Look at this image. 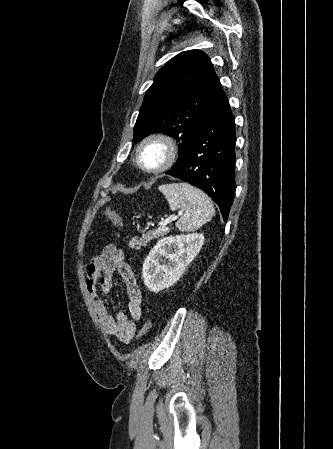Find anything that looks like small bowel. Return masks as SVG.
Returning a JSON list of instances; mask_svg holds the SVG:
<instances>
[{"instance_id": "obj_1", "label": "small bowel", "mask_w": 333, "mask_h": 449, "mask_svg": "<svg viewBox=\"0 0 333 449\" xmlns=\"http://www.w3.org/2000/svg\"><path fill=\"white\" fill-rule=\"evenodd\" d=\"M86 288L97 319L109 336L122 343H129L136 334V324L142 315V296L136 276L131 266L124 260L120 249L114 245L106 246L86 265ZM116 272L124 284L128 299V314L119 312L113 315L98 290L109 293L112 288V275Z\"/></svg>"}]
</instances>
